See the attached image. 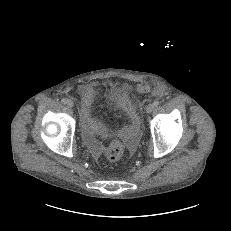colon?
<instances>
[{"label":"colon","mask_w":231,"mask_h":231,"mask_svg":"<svg viewBox=\"0 0 231 231\" xmlns=\"http://www.w3.org/2000/svg\"><path fill=\"white\" fill-rule=\"evenodd\" d=\"M149 89L150 86L147 84H141L138 86V90L140 92H147L149 91ZM115 93L120 96H124V94L126 93V89L124 87L117 86L115 88ZM154 94L156 96H161L163 94L162 88L159 86L156 87V89L154 90ZM123 107L126 110V112L130 115L134 125H137L139 123V119L132 105L127 100H124ZM123 153H124L123 142L120 140H113L107 147L105 156L108 161L116 162L122 157Z\"/></svg>","instance_id":"5ec220e1"}]
</instances>
